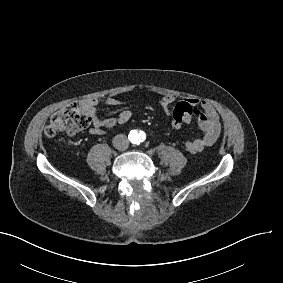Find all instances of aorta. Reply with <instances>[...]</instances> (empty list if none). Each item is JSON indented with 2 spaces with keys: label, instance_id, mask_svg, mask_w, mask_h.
I'll return each mask as SVG.
<instances>
[{
  "label": "aorta",
  "instance_id": "obj_1",
  "mask_svg": "<svg viewBox=\"0 0 283 283\" xmlns=\"http://www.w3.org/2000/svg\"><path fill=\"white\" fill-rule=\"evenodd\" d=\"M128 137L131 143L140 144L146 139V134L141 130L134 129L130 131Z\"/></svg>",
  "mask_w": 283,
  "mask_h": 283
}]
</instances>
